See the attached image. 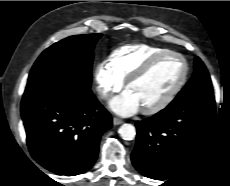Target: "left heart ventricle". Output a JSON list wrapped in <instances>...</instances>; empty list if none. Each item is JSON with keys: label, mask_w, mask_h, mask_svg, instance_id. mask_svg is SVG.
<instances>
[{"label": "left heart ventricle", "mask_w": 230, "mask_h": 186, "mask_svg": "<svg viewBox=\"0 0 230 186\" xmlns=\"http://www.w3.org/2000/svg\"><path fill=\"white\" fill-rule=\"evenodd\" d=\"M184 71L183 62L168 56L158 61L141 79L129 85L141 108H148L162 100L179 82Z\"/></svg>", "instance_id": "1"}]
</instances>
